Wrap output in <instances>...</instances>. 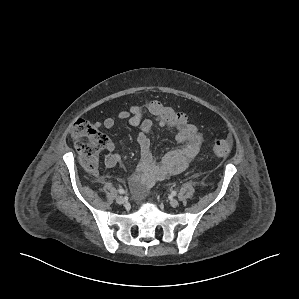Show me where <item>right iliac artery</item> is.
<instances>
[{
  "mask_svg": "<svg viewBox=\"0 0 299 299\" xmlns=\"http://www.w3.org/2000/svg\"><path fill=\"white\" fill-rule=\"evenodd\" d=\"M118 192H119L120 194H124V193H125V190H124V189H119Z\"/></svg>",
  "mask_w": 299,
  "mask_h": 299,
  "instance_id": "obj_1",
  "label": "right iliac artery"
}]
</instances>
